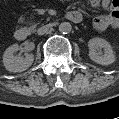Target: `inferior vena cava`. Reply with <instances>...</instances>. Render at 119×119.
<instances>
[{
  "instance_id": "602c4592",
  "label": "inferior vena cava",
  "mask_w": 119,
  "mask_h": 119,
  "mask_svg": "<svg viewBox=\"0 0 119 119\" xmlns=\"http://www.w3.org/2000/svg\"><path fill=\"white\" fill-rule=\"evenodd\" d=\"M52 29L50 24L44 25L37 30L38 35H43Z\"/></svg>"
}]
</instances>
